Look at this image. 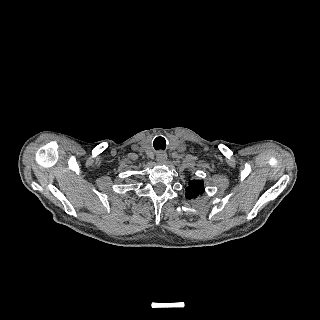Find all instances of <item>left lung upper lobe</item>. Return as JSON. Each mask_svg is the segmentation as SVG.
I'll use <instances>...</instances> for the list:
<instances>
[{
    "instance_id": "1",
    "label": "left lung upper lobe",
    "mask_w": 320,
    "mask_h": 320,
    "mask_svg": "<svg viewBox=\"0 0 320 320\" xmlns=\"http://www.w3.org/2000/svg\"><path fill=\"white\" fill-rule=\"evenodd\" d=\"M204 183L202 180H191L189 186L186 188V198L193 199L198 195L203 194Z\"/></svg>"
}]
</instances>
